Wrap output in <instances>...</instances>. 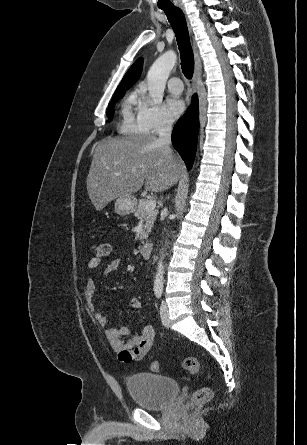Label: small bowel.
<instances>
[{
	"label": "small bowel",
	"mask_w": 307,
	"mask_h": 445,
	"mask_svg": "<svg viewBox=\"0 0 307 445\" xmlns=\"http://www.w3.org/2000/svg\"><path fill=\"white\" fill-rule=\"evenodd\" d=\"M122 259L116 258L105 264L104 274L112 276L122 265ZM102 264L97 258H93L88 263L89 269H95ZM96 285L92 278H88L84 290V297L87 307L92 312L96 323L102 328L105 337L112 348L118 353V359L123 364L142 360L150 351L155 340V330L151 325H146L139 332L131 333L127 326L111 327L108 320L95 309L94 297ZM130 308H141V302L133 298Z\"/></svg>",
	"instance_id": "c3829d8e"
}]
</instances>
